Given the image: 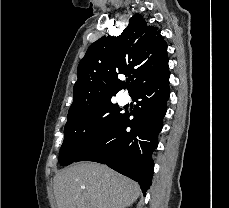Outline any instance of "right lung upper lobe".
I'll return each instance as SVG.
<instances>
[{"label":"right lung upper lobe","instance_id":"obj_1","mask_svg":"<svg viewBox=\"0 0 229 208\" xmlns=\"http://www.w3.org/2000/svg\"><path fill=\"white\" fill-rule=\"evenodd\" d=\"M168 65L167 44L160 31L140 14L117 37L94 42L80 61L68 118L82 115L97 104L111 100L126 87L119 74L132 77L131 94L143 83L161 75Z\"/></svg>","mask_w":229,"mask_h":208}]
</instances>
